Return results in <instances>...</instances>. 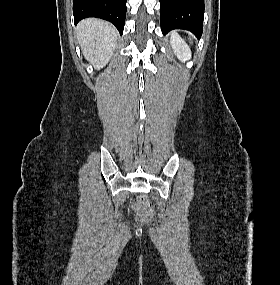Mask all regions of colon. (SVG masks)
<instances>
[{"label": "colon", "mask_w": 280, "mask_h": 285, "mask_svg": "<svg viewBox=\"0 0 280 285\" xmlns=\"http://www.w3.org/2000/svg\"><path fill=\"white\" fill-rule=\"evenodd\" d=\"M139 206L148 216H151L152 201L147 195H143L139 199Z\"/></svg>", "instance_id": "colon-1"}]
</instances>
